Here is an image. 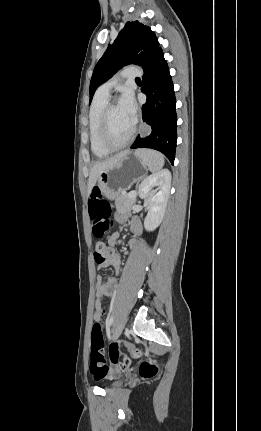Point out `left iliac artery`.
Returning a JSON list of instances; mask_svg holds the SVG:
<instances>
[{"label":"left iliac artery","instance_id":"obj_1","mask_svg":"<svg viewBox=\"0 0 261 431\" xmlns=\"http://www.w3.org/2000/svg\"><path fill=\"white\" fill-rule=\"evenodd\" d=\"M113 320H114L113 315H111V316L107 319V321H106L107 331H109V330H110V327H111V325H112V323H113Z\"/></svg>","mask_w":261,"mask_h":431}]
</instances>
